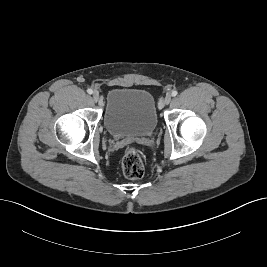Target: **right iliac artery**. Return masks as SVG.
<instances>
[{"instance_id": "right-iliac-artery-1", "label": "right iliac artery", "mask_w": 267, "mask_h": 267, "mask_svg": "<svg viewBox=\"0 0 267 267\" xmlns=\"http://www.w3.org/2000/svg\"><path fill=\"white\" fill-rule=\"evenodd\" d=\"M87 93H88V94H92V93H93V90H92V89H88V90H87Z\"/></svg>"}]
</instances>
